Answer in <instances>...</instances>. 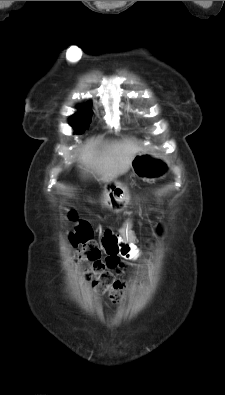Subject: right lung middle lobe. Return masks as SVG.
<instances>
[{
	"instance_id": "dd1d6c3e",
	"label": "right lung middle lobe",
	"mask_w": 225,
	"mask_h": 395,
	"mask_svg": "<svg viewBox=\"0 0 225 395\" xmlns=\"http://www.w3.org/2000/svg\"><path fill=\"white\" fill-rule=\"evenodd\" d=\"M92 111L87 108H82L77 114L70 117V124L76 128V133H83L91 122Z\"/></svg>"
}]
</instances>
